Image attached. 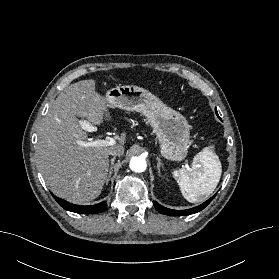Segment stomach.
I'll use <instances>...</instances> for the list:
<instances>
[{"instance_id": "stomach-1", "label": "stomach", "mask_w": 279, "mask_h": 279, "mask_svg": "<svg viewBox=\"0 0 279 279\" xmlns=\"http://www.w3.org/2000/svg\"><path fill=\"white\" fill-rule=\"evenodd\" d=\"M112 107L142 113L153 129L163 157L172 161L183 160L190 144V126L186 118L163 103L150 91L123 85L107 91Z\"/></svg>"}]
</instances>
